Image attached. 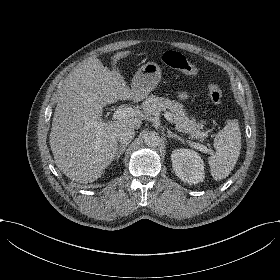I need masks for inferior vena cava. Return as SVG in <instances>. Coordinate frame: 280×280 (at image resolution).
Instances as JSON below:
<instances>
[{
    "label": "inferior vena cava",
    "instance_id": "obj_1",
    "mask_svg": "<svg viewBox=\"0 0 280 280\" xmlns=\"http://www.w3.org/2000/svg\"><path fill=\"white\" fill-rule=\"evenodd\" d=\"M135 136L134 129L123 128L117 132V139L121 144H129Z\"/></svg>",
    "mask_w": 280,
    "mask_h": 280
}]
</instances>
